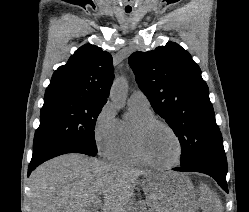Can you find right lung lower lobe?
Masks as SVG:
<instances>
[{
    "instance_id": "obj_1",
    "label": "right lung lower lobe",
    "mask_w": 249,
    "mask_h": 212,
    "mask_svg": "<svg viewBox=\"0 0 249 212\" xmlns=\"http://www.w3.org/2000/svg\"><path fill=\"white\" fill-rule=\"evenodd\" d=\"M66 153H82L87 155L86 150L80 144L70 141L42 145L33 150L32 159L28 167V176L41 163Z\"/></svg>"
}]
</instances>
